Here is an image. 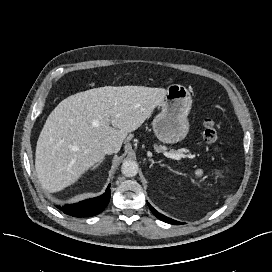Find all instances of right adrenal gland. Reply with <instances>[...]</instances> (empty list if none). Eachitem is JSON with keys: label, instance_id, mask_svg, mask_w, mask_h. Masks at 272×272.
I'll return each instance as SVG.
<instances>
[{"label": "right adrenal gland", "instance_id": "right-adrenal-gland-1", "mask_svg": "<svg viewBox=\"0 0 272 272\" xmlns=\"http://www.w3.org/2000/svg\"><path fill=\"white\" fill-rule=\"evenodd\" d=\"M103 160H104V158L101 159L95 166H93L92 169L94 170V169L98 168L100 166V164L103 162Z\"/></svg>", "mask_w": 272, "mask_h": 272}]
</instances>
